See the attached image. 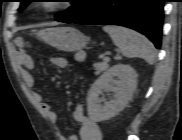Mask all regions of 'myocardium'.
Segmentation results:
<instances>
[{
  "mask_svg": "<svg viewBox=\"0 0 182 140\" xmlns=\"http://www.w3.org/2000/svg\"><path fill=\"white\" fill-rule=\"evenodd\" d=\"M48 1H61V0H48ZM66 7H67V5L65 3L60 4V3H56V2H44L40 5H38V8L46 13L56 12V11L66 8Z\"/></svg>",
  "mask_w": 182,
  "mask_h": 140,
  "instance_id": "myocardium-1",
  "label": "myocardium"
}]
</instances>
